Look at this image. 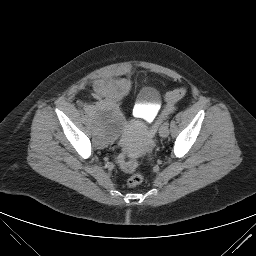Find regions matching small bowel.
<instances>
[{
    "instance_id": "small-bowel-1",
    "label": "small bowel",
    "mask_w": 256,
    "mask_h": 256,
    "mask_svg": "<svg viewBox=\"0 0 256 256\" xmlns=\"http://www.w3.org/2000/svg\"><path fill=\"white\" fill-rule=\"evenodd\" d=\"M104 86H105V82H104V81H102V80L97 81L96 87H97L98 89H103ZM168 111H169V109H166V110H165V113H167Z\"/></svg>"
}]
</instances>
